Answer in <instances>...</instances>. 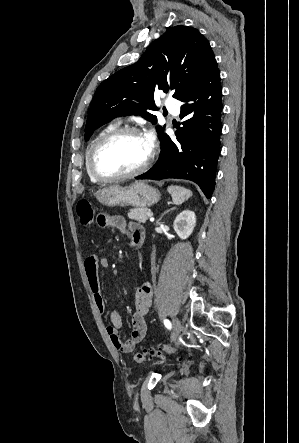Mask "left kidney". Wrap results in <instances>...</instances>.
Listing matches in <instances>:
<instances>
[{"mask_svg": "<svg viewBox=\"0 0 299 443\" xmlns=\"http://www.w3.org/2000/svg\"><path fill=\"white\" fill-rule=\"evenodd\" d=\"M196 225V215L193 211L185 210L174 220L173 227L181 239H187Z\"/></svg>", "mask_w": 299, "mask_h": 443, "instance_id": "5707ae66", "label": "left kidney"}]
</instances>
